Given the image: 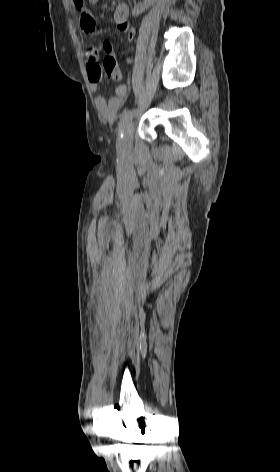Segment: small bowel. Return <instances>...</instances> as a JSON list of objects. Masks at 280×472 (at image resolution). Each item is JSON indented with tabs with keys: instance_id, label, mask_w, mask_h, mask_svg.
<instances>
[{
	"instance_id": "c3829d8e",
	"label": "small bowel",
	"mask_w": 280,
	"mask_h": 472,
	"mask_svg": "<svg viewBox=\"0 0 280 472\" xmlns=\"http://www.w3.org/2000/svg\"><path fill=\"white\" fill-rule=\"evenodd\" d=\"M92 3H97L99 0H93ZM74 6L80 13V27L82 31L88 35L95 32L96 22L95 19L85 4V0H73ZM129 6L126 3H119L114 10V21L117 28L127 34L128 39L132 41L135 37V29L130 25L129 18ZM102 49L105 53V58L115 60L113 54L112 45L108 41H104ZM100 49L97 47H91L86 52L87 58V73L90 81V86L93 91L98 89V85L102 79L103 69L99 63ZM128 89L125 85H119L115 89V94L109 100H106L102 96H98L95 99V104L101 115L112 122L115 120L120 107L122 106L123 99L126 97Z\"/></svg>"
}]
</instances>
